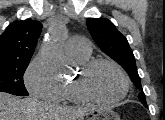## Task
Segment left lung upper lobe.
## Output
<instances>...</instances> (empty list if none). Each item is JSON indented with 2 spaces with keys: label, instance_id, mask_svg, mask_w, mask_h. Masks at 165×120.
<instances>
[{
  "label": "left lung upper lobe",
  "instance_id": "obj_1",
  "mask_svg": "<svg viewBox=\"0 0 165 120\" xmlns=\"http://www.w3.org/2000/svg\"><path fill=\"white\" fill-rule=\"evenodd\" d=\"M87 27L101 50L118 62L127 71L135 86L142 91L138 98L147 107L145 94L137 72L135 57L127 39L116 29L110 20L105 18H89L87 20Z\"/></svg>",
  "mask_w": 165,
  "mask_h": 120
}]
</instances>
